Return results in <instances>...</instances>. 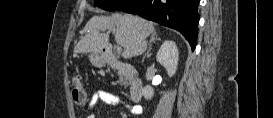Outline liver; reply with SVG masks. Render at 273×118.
Listing matches in <instances>:
<instances>
[{
    "instance_id": "1",
    "label": "liver",
    "mask_w": 273,
    "mask_h": 118,
    "mask_svg": "<svg viewBox=\"0 0 273 118\" xmlns=\"http://www.w3.org/2000/svg\"><path fill=\"white\" fill-rule=\"evenodd\" d=\"M114 32L115 41L124 48L123 58L129 59L141 55L147 48L146 38L154 33L153 22L131 15L113 14L111 16H93L83 29L84 35L74 48L75 53L102 52L110 48L109 34Z\"/></svg>"
}]
</instances>
